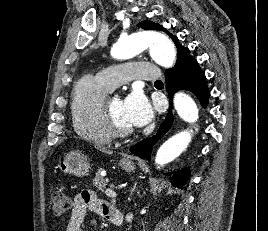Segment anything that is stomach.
<instances>
[{"label":"stomach","mask_w":268,"mask_h":231,"mask_svg":"<svg viewBox=\"0 0 268 231\" xmlns=\"http://www.w3.org/2000/svg\"><path fill=\"white\" fill-rule=\"evenodd\" d=\"M119 165L126 172H132L135 170L134 163L128 159H122ZM58 168L63 173L82 177L87 175L90 165L84 154L78 150H73L60 158Z\"/></svg>","instance_id":"stomach-1"}]
</instances>
